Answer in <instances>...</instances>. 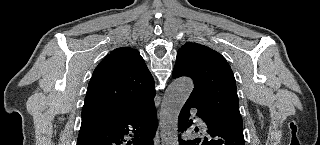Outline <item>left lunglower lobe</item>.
<instances>
[{
  "instance_id": "obj_1",
  "label": "left lung lower lobe",
  "mask_w": 320,
  "mask_h": 145,
  "mask_svg": "<svg viewBox=\"0 0 320 145\" xmlns=\"http://www.w3.org/2000/svg\"><path fill=\"white\" fill-rule=\"evenodd\" d=\"M178 77L180 76L173 74V78ZM191 108H196L198 110V117L205 122L206 130L203 133L205 136L193 140H182L179 138L180 145H245L242 128L216 121L212 117L202 113L191 97L185 102L179 114V131H186L187 128L191 126L193 122L189 120V110ZM195 131H198V128H196Z\"/></svg>"
}]
</instances>
